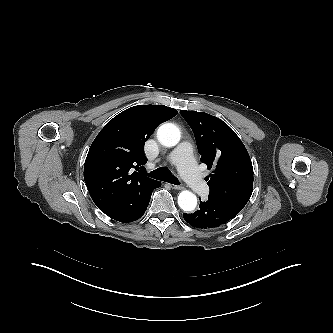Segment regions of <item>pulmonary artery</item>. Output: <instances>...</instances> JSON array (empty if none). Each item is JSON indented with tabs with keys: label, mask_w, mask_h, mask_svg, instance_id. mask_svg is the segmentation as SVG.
Instances as JSON below:
<instances>
[{
	"label": "pulmonary artery",
	"mask_w": 333,
	"mask_h": 333,
	"mask_svg": "<svg viewBox=\"0 0 333 333\" xmlns=\"http://www.w3.org/2000/svg\"><path fill=\"white\" fill-rule=\"evenodd\" d=\"M169 160L177 165L182 177L194 192L199 195L207 194L208 186L196 166L193 149L189 143H181L171 152Z\"/></svg>",
	"instance_id": "1"
}]
</instances>
